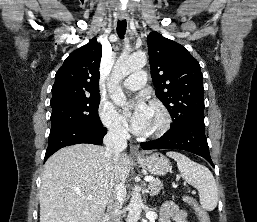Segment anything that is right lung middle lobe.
Returning a JSON list of instances; mask_svg holds the SVG:
<instances>
[{"label":"right lung middle lobe","mask_w":257,"mask_h":222,"mask_svg":"<svg viewBox=\"0 0 257 222\" xmlns=\"http://www.w3.org/2000/svg\"><path fill=\"white\" fill-rule=\"evenodd\" d=\"M100 95L52 100L50 133L70 127L97 129L102 127L98 116Z\"/></svg>","instance_id":"1"}]
</instances>
